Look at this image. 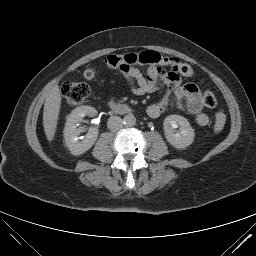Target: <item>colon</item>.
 Segmentation results:
<instances>
[{
  "label": "colon",
  "instance_id": "colon-1",
  "mask_svg": "<svg viewBox=\"0 0 256 256\" xmlns=\"http://www.w3.org/2000/svg\"><path fill=\"white\" fill-rule=\"evenodd\" d=\"M163 58L156 51H143L141 53H127V54H111L106 56L105 63L108 67L113 69H120L128 65L137 64H157L161 62ZM171 66L182 76H191L193 69L190 65L183 63L175 58L169 59ZM84 79L94 80L97 76V70L95 65L88 64L83 73ZM62 94L66 101L70 105H78L84 102L91 94V89L85 83L67 81L62 85ZM203 104L208 108H214L217 105V99L215 95L206 91L202 98ZM226 124V116L223 112H217L215 114L214 129L216 132H220L224 129Z\"/></svg>",
  "mask_w": 256,
  "mask_h": 256
}]
</instances>
